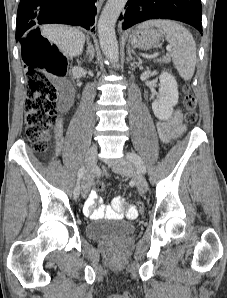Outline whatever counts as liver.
<instances>
[{"label":"liver","instance_id":"obj_1","mask_svg":"<svg viewBox=\"0 0 227 298\" xmlns=\"http://www.w3.org/2000/svg\"><path fill=\"white\" fill-rule=\"evenodd\" d=\"M42 34L56 44L67 58L78 56L83 51L85 35L79 29L64 25H45L42 27Z\"/></svg>","mask_w":227,"mask_h":298}]
</instances>
